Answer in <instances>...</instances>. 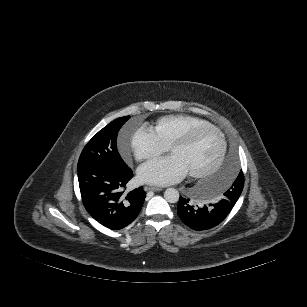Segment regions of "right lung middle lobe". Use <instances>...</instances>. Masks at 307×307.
<instances>
[{
	"instance_id": "dd1d6c3e",
	"label": "right lung middle lobe",
	"mask_w": 307,
	"mask_h": 307,
	"mask_svg": "<svg viewBox=\"0 0 307 307\" xmlns=\"http://www.w3.org/2000/svg\"><path fill=\"white\" fill-rule=\"evenodd\" d=\"M130 116L115 119L100 130L83 149L77 166V171L89 167H104L122 171L128 166L122 160L117 150V134Z\"/></svg>"
}]
</instances>
